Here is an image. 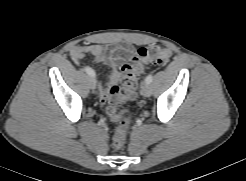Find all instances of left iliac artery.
I'll use <instances>...</instances> for the list:
<instances>
[{"label":"left iliac artery","mask_w":246,"mask_h":181,"mask_svg":"<svg viewBox=\"0 0 246 181\" xmlns=\"http://www.w3.org/2000/svg\"><path fill=\"white\" fill-rule=\"evenodd\" d=\"M152 80H153V76H152V75H148V76L145 78V82H146L147 84H150V83L152 82Z\"/></svg>","instance_id":"left-iliac-artery-1"}]
</instances>
